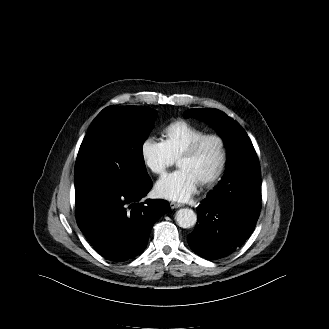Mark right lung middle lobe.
Segmentation results:
<instances>
[{
	"mask_svg": "<svg viewBox=\"0 0 329 329\" xmlns=\"http://www.w3.org/2000/svg\"><path fill=\"white\" fill-rule=\"evenodd\" d=\"M155 115L146 106H109L91 123L75 165V190L93 182L137 189L150 180L142 145Z\"/></svg>",
	"mask_w": 329,
	"mask_h": 329,
	"instance_id": "dd1d6c3e",
	"label": "right lung middle lobe"
}]
</instances>
